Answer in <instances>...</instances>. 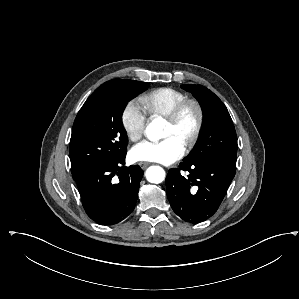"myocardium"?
Masks as SVG:
<instances>
[{
    "label": "myocardium",
    "instance_id": "f54148a6",
    "mask_svg": "<svg viewBox=\"0 0 299 299\" xmlns=\"http://www.w3.org/2000/svg\"><path fill=\"white\" fill-rule=\"evenodd\" d=\"M189 108L195 109L197 113V122L191 138L184 145L186 150L192 149L200 139L203 126H204V120H205V115H204V110L202 105L198 100L194 98L186 97L185 99L180 101L174 107L171 113L166 117L167 122H169L172 125H177L181 121L183 115Z\"/></svg>",
    "mask_w": 299,
    "mask_h": 299
}]
</instances>
